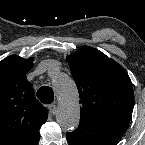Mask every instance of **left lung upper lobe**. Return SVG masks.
Masks as SVG:
<instances>
[{
	"mask_svg": "<svg viewBox=\"0 0 145 145\" xmlns=\"http://www.w3.org/2000/svg\"><path fill=\"white\" fill-rule=\"evenodd\" d=\"M67 62L81 99L80 121L130 122L134 92L122 66L89 46L69 55Z\"/></svg>",
	"mask_w": 145,
	"mask_h": 145,
	"instance_id": "left-lung-upper-lobe-1",
	"label": "left lung upper lobe"
}]
</instances>
